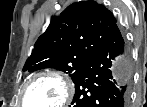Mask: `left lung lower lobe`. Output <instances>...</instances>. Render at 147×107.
Masks as SVG:
<instances>
[{
    "instance_id": "1",
    "label": "left lung lower lobe",
    "mask_w": 147,
    "mask_h": 107,
    "mask_svg": "<svg viewBox=\"0 0 147 107\" xmlns=\"http://www.w3.org/2000/svg\"><path fill=\"white\" fill-rule=\"evenodd\" d=\"M119 55L126 58L128 54L115 25L74 81L75 95L70 107H127L131 77L127 74L116 81L110 70L112 60Z\"/></svg>"
}]
</instances>
